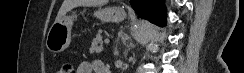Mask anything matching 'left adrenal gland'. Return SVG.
Returning a JSON list of instances; mask_svg holds the SVG:
<instances>
[{
  "mask_svg": "<svg viewBox=\"0 0 244 73\" xmlns=\"http://www.w3.org/2000/svg\"><path fill=\"white\" fill-rule=\"evenodd\" d=\"M114 50H115L116 56H118L119 55V52H118V49H117V45L115 46Z\"/></svg>",
  "mask_w": 244,
  "mask_h": 73,
  "instance_id": "left-adrenal-gland-1",
  "label": "left adrenal gland"
}]
</instances>
